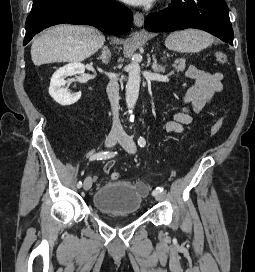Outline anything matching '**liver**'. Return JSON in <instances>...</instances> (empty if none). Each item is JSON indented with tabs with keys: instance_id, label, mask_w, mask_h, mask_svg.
<instances>
[{
	"instance_id": "1",
	"label": "liver",
	"mask_w": 255,
	"mask_h": 272,
	"mask_svg": "<svg viewBox=\"0 0 255 272\" xmlns=\"http://www.w3.org/2000/svg\"><path fill=\"white\" fill-rule=\"evenodd\" d=\"M105 37L92 27L57 25L34 39L32 62L36 66L54 62H81L96 53Z\"/></svg>"
}]
</instances>
